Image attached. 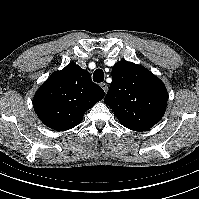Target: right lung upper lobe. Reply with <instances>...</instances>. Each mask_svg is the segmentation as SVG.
<instances>
[{
	"label": "right lung upper lobe",
	"instance_id": "1",
	"mask_svg": "<svg viewBox=\"0 0 199 199\" xmlns=\"http://www.w3.org/2000/svg\"><path fill=\"white\" fill-rule=\"evenodd\" d=\"M104 97L91 75L76 64L52 74L37 90L34 110L48 127L65 131L78 125L86 110Z\"/></svg>",
	"mask_w": 199,
	"mask_h": 199
}]
</instances>
